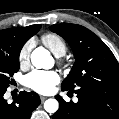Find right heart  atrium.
<instances>
[{"instance_id": "1", "label": "right heart atrium", "mask_w": 119, "mask_h": 119, "mask_svg": "<svg viewBox=\"0 0 119 119\" xmlns=\"http://www.w3.org/2000/svg\"><path fill=\"white\" fill-rule=\"evenodd\" d=\"M31 48H32V42L28 41L20 50L19 52V63L21 65H24L28 62L29 60V56H30V52H31Z\"/></svg>"}]
</instances>
